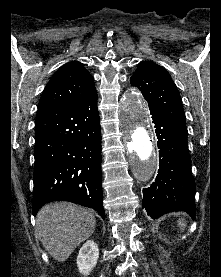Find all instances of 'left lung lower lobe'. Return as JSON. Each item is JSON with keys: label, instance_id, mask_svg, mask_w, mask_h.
<instances>
[{"label": "left lung lower lobe", "instance_id": "left-lung-lower-lobe-1", "mask_svg": "<svg viewBox=\"0 0 221 277\" xmlns=\"http://www.w3.org/2000/svg\"><path fill=\"white\" fill-rule=\"evenodd\" d=\"M149 109L160 149V168L155 182L143 190L142 207L153 219L173 211H185L195 219V182L190 171L187 135L160 112Z\"/></svg>", "mask_w": 221, "mask_h": 277}]
</instances>
